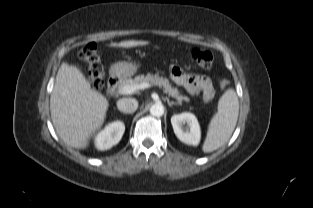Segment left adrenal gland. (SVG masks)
<instances>
[{
  "instance_id": "obj_1",
  "label": "left adrenal gland",
  "mask_w": 313,
  "mask_h": 208,
  "mask_svg": "<svg viewBox=\"0 0 313 208\" xmlns=\"http://www.w3.org/2000/svg\"><path fill=\"white\" fill-rule=\"evenodd\" d=\"M167 103L169 107H172L173 105H180L181 103L178 102H174V101H169V99H167Z\"/></svg>"
}]
</instances>
